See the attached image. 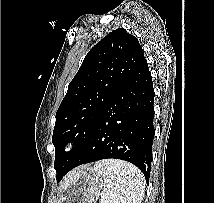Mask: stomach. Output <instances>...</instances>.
Returning a JSON list of instances; mask_svg holds the SVG:
<instances>
[{
	"instance_id": "obj_1",
	"label": "stomach",
	"mask_w": 214,
	"mask_h": 203,
	"mask_svg": "<svg viewBox=\"0 0 214 203\" xmlns=\"http://www.w3.org/2000/svg\"><path fill=\"white\" fill-rule=\"evenodd\" d=\"M104 184L102 175L84 166L72 182L63 188L59 203H96Z\"/></svg>"
}]
</instances>
